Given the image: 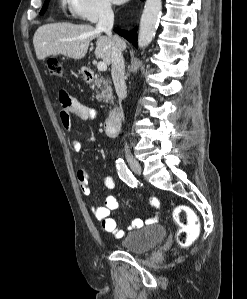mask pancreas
<instances>
[{"instance_id": "obj_1", "label": "pancreas", "mask_w": 247, "mask_h": 299, "mask_svg": "<svg viewBox=\"0 0 247 299\" xmlns=\"http://www.w3.org/2000/svg\"><path fill=\"white\" fill-rule=\"evenodd\" d=\"M110 81L108 79H105L103 76H98L95 78L93 82V86L97 87V95L96 98L99 101H112L113 99V92L112 87L110 85Z\"/></svg>"}]
</instances>
